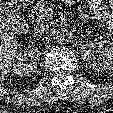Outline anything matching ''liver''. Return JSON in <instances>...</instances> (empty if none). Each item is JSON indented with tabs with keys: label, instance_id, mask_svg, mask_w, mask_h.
<instances>
[{
	"label": "liver",
	"instance_id": "liver-1",
	"mask_svg": "<svg viewBox=\"0 0 113 113\" xmlns=\"http://www.w3.org/2000/svg\"><path fill=\"white\" fill-rule=\"evenodd\" d=\"M2 1H0L1 3ZM4 7L0 6V82L9 73L17 55L18 41L14 36L9 20L3 15Z\"/></svg>",
	"mask_w": 113,
	"mask_h": 113
}]
</instances>
